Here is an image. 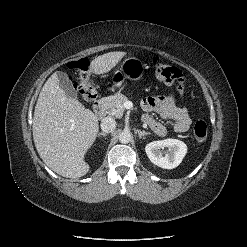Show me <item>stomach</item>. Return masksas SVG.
I'll return each instance as SVG.
<instances>
[{"instance_id":"1","label":"stomach","mask_w":247,"mask_h":247,"mask_svg":"<svg viewBox=\"0 0 247 247\" xmlns=\"http://www.w3.org/2000/svg\"><path fill=\"white\" fill-rule=\"evenodd\" d=\"M146 65L136 57H128L122 62L120 69L116 72L115 78L122 82L125 79L140 80L145 72Z\"/></svg>"}]
</instances>
